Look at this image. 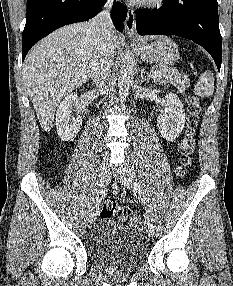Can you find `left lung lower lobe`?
Here are the masks:
<instances>
[{
	"mask_svg": "<svg viewBox=\"0 0 233 286\" xmlns=\"http://www.w3.org/2000/svg\"><path fill=\"white\" fill-rule=\"evenodd\" d=\"M140 35H176L204 47L220 71L222 38L217 0H164L155 10H137Z\"/></svg>",
	"mask_w": 233,
	"mask_h": 286,
	"instance_id": "obj_1",
	"label": "left lung lower lobe"
}]
</instances>
